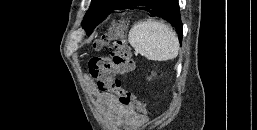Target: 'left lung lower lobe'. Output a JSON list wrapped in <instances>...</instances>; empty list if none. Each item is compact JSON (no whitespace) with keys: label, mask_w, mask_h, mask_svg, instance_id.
Returning a JSON list of instances; mask_svg holds the SVG:
<instances>
[{"label":"left lung lower lobe","mask_w":257,"mask_h":130,"mask_svg":"<svg viewBox=\"0 0 257 130\" xmlns=\"http://www.w3.org/2000/svg\"><path fill=\"white\" fill-rule=\"evenodd\" d=\"M123 9H142L170 22L175 27L181 43L183 32L177 0H128L119 10Z\"/></svg>","instance_id":"1"}]
</instances>
